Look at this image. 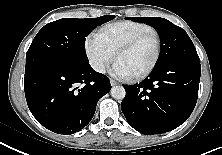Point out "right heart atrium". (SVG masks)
I'll return each instance as SVG.
<instances>
[{"instance_id":"1","label":"right heart atrium","mask_w":222,"mask_h":155,"mask_svg":"<svg viewBox=\"0 0 222 155\" xmlns=\"http://www.w3.org/2000/svg\"><path fill=\"white\" fill-rule=\"evenodd\" d=\"M85 51L91 67L98 73H103L115 56L99 33H91L86 38Z\"/></svg>"}]
</instances>
